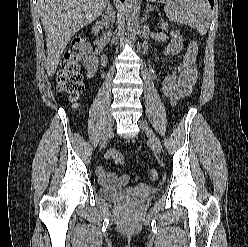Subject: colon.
I'll list each match as a JSON object with an SVG mask.
<instances>
[{"label":"colon","instance_id":"obj_1","mask_svg":"<svg viewBox=\"0 0 248 247\" xmlns=\"http://www.w3.org/2000/svg\"><path fill=\"white\" fill-rule=\"evenodd\" d=\"M82 43L83 39L81 38L73 41V49L66 53L57 80L58 89L67 93L73 101L78 99L83 90L82 77L78 70L79 50ZM188 51V56L184 58L178 69L168 75L162 83V95L168 101H172L178 92L179 76L196 61L198 54L197 43L191 42ZM107 157L113 159L119 165L125 163L123 156L116 150L108 151ZM150 176L152 179H156L158 176L157 171L152 170Z\"/></svg>","mask_w":248,"mask_h":247}]
</instances>
